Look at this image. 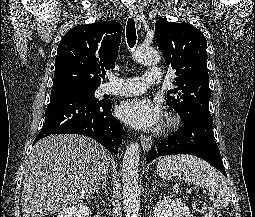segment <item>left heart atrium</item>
I'll list each match as a JSON object with an SVG mask.
<instances>
[{
	"label": "left heart atrium",
	"instance_id": "left-heart-atrium-1",
	"mask_svg": "<svg viewBox=\"0 0 255 217\" xmlns=\"http://www.w3.org/2000/svg\"><path fill=\"white\" fill-rule=\"evenodd\" d=\"M120 118L139 130H153L162 121L161 107L148 98L127 100L119 107Z\"/></svg>",
	"mask_w": 255,
	"mask_h": 217
}]
</instances>
